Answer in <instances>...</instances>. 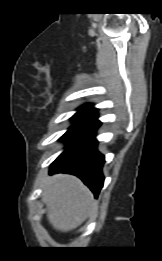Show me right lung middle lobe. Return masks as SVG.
<instances>
[{
  "mask_svg": "<svg viewBox=\"0 0 162 261\" xmlns=\"http://www.w3.org/2000/svg\"><path fill=\"white\" fill-rule=\"evenodd\" d=\"M96 109L90 105V104H87V105H84L82 107L79 108V111L72 117V121L75 123L87 116H90L94 113H96Z\"/></svg>",
  "mask_w": 162,
  "mask_h": 261,
  "instance_id": "1",
  "label": "right lung middle lobe"
}]
</instances>
